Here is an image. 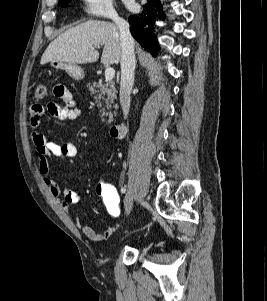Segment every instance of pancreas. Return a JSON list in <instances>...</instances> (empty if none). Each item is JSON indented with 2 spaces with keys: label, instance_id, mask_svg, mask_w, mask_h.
<instances>
[{
  "label": "pancreas",
  "instance_id": "obj_1",
  "mask_svg": "<svg viewBox=\"0 0 267 301\" xmlns=\"http://www.w3.org/2000/svg\"><path fill=\"white\" fill-rule=\"evenodd\" d=\"M89 91L93 94V98L98 102V106L102 107V101H105V106L100 110L102 121L106 124H110L113 120V115L109 113V120H106L104 116H108L107 110H110L112 106L117 109L118 105L115 103L117 98V90L115 88V83L113 81H107L103 83L101 80L99 82H94L92 85L88 84Z\"/></svg>",
  "mask_w": 267,
  "mask_h": 301
}]
</instances>
